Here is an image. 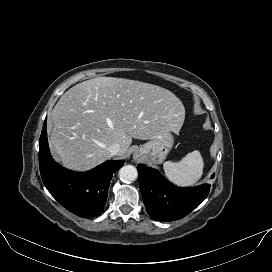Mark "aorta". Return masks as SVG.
Returning <instances> with one entry per match:
<instances>
[{
  "label": "aorta",
  "instance_id": "aorta-1",
  "mask_svg": "<svg viewBox=\"0 0 272 272\" xmlns=\"http://www.w3.org/2000/svg\"><path fill=\"white\" fill-rule=\"evenodd\" d=\"M138 177L137 169L133 165H125L119 170V178L125 183H130Z\"/></svg>",
  "mask_w": 272,
  "mask_h": 272
}]
</instances>
